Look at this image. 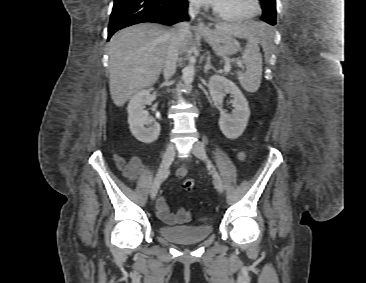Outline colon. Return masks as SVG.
Listing matches in <instances>:
<instances>
[{
  "label": "colon",
  "mask_w": 366,
  "mask_h": 283,
  "mask_svg": "<svg viewBox=\"0 0 366 283\" xmlns=\"http://www.w3.org/2000/svg\"><path fill=\"white\" fill-rule=\"evenodd\" d=\"M196 181L193 178H187L182 182V187L186 191H192L195 188Z\"/></svg>",
  "instance_id": "1"
}]
</instances>
